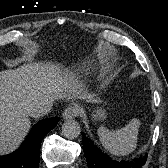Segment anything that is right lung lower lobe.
Segmentation results:
<instances>
[{
  "mask_svg": "<svg viewBox=\"0 0 168 168\" xmlns=\"http://www.w3.org/2000/svg\"><path fill=\"white\" fill-rule=\"evenodd\" d=\"M58 122L59 118L53 117L34 125L18 150L9 155L0 156V168H38L41 141Z\"/></svg>",
  "mask_w": 168,
  "mask_h": 168,
  "instance_id": "98d812e1",
  "label": "right lung lower lobe"
}]
</instances>
